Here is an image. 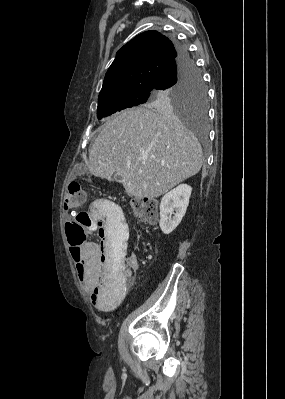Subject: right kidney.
<instances>
[{
    "label": "right kidney",
    "mask_w": 285,
    "mask_h": 399,
    "mask_svg": "<svg viewBox=\"0 0 285 399\" xmlns=\"http://www.w3.org/2000/svg\"><path fill=\"white\" fill-rule=\"evenodd\" d=\"M191 192V186L181 184L163 196L160 203L159 225L164 234H170L181 222L186 213ZM172 214L174 216L171 218Z\"/></svg>",
    "instance_id": "obj_1"
}]
</instances>
